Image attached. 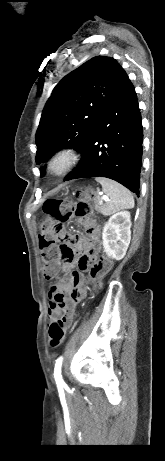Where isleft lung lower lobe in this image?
Returning a JSON list of instances; mask_svg holds the SVG:
<instances>
[{"mask_svg": "<svg viewBox=\"0 0 165 461\" xmlns=\"http://www.w3.org/2000/svg\"><path fill=\"white\" fill-rule=\"evenodd\" d=\"M142 120L128 76L81 149L82 160L65 180L106 177L139 194Z\"/></svg>", "mask_w": 165, "mask_h": 461, "instance_id": "left-lung-lower-lobe-1", "label": "left lung lower lobe"}]
</instances>
